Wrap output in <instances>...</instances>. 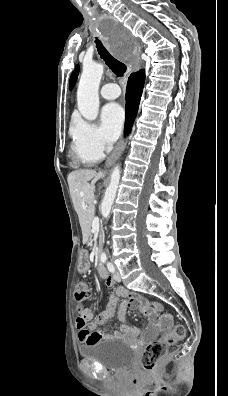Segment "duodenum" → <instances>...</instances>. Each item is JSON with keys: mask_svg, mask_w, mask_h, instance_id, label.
Returning a JSON list of instances; mask_svg holds the SVG:
<instances>
[{"mask_svg": "<svg viewBox=\"0 0 228 396\" xmlns=\"http://www.w3.org/2000/svg\"><path fill=\"white\" fill-rule=\"evenodd\" d=\"M101 255H100V250H99L98 256H99L100 259H101ZM98 273L103 278L108 277L107 270L105 269V267L100 262L98 263Z\"/></svg>", "mask_w": 228, "mask_h": 396, "instance_id": "1", "label": "duodenum"}]
</instances>
